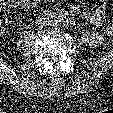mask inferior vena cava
Returning a JSON list of instances; mask_svg holds the SVG:
<instances>
[{
	"label": "inferior vena cava",
	"mask_w": 113,
	"mask_h": 113,
	"mask_svg": "<svg viewBox=\"0 0 113 113\" xmlns=\"http://www.w3.org/2000/svg\"><path fill=\"white\" fill-rule=\"evenodd\" d=\"M61 24V20L57 17H48L44 21V27L49 30H55L57 29Z\"/></svg>",
	"instance_id": "obj_1"
}]
</instances>
